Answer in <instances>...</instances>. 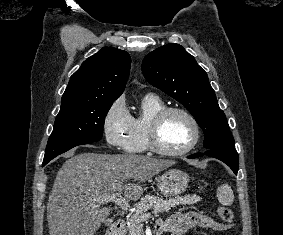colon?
I'll return each mask as SVG.
<instances>
[{
    "mask_svg": "<svg viewBox=\"0 0 283 235\" xmlns=\"http://www.w3.org/2000/svg\"><path fill=\"white\" fill-rule=\"evenodd\" d=\"M217 214L223 222L229 223L233 220V212L228 207L219 206L217 208Z\"/></svg>",
    "mask_w": 283,
    "mask_h": 235,
    "instance_id": "5ec220e1",
    "label": "colon"
}]
</instances>
